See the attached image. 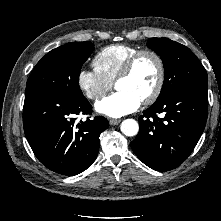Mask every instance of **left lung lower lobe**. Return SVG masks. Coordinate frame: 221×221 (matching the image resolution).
I'll list each match as a JSON object with an SVG mask.
<instances>
[{"instance_id": "left-lung-lower-lobe-1", "label": "left lung lower lobe", "mask_w": 221, "mask_h": 221, "mask_svg": "<svg viewBox=\"0 0 221 221\" xmlns=\"http://www.w3.org/2000/svg\"><path fill=\"white\" fill-rule=\"evenodd\" d=\"M143 113L139 117V133L130 144L133 152L156 171L172 170L192 153L204 131L207 83L184 86ZM161 113L164 118L158 117Z\"/></svg>"}]
</instances>
